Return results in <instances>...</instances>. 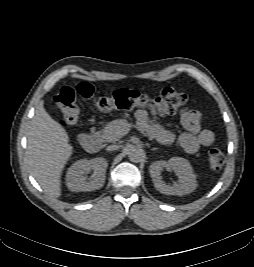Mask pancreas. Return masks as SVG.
<instances>
[{
  "label": "pancreas",
  "instance_id": "cf45deb5",
  "mask_svg": "<svg viewBox=\"0 0 254 267\" xmlns=\"http://www.w3.org/2000/svg\"><path fill=\"white\" fill-rule=\"evenodd\" d=\"M125 127H127V121L125 119L111 121L104 129L99 131L98 137L103 142H116L124 135L123 129Z\"/></svg>",
  "mask_w": 254,
  "mask_h": 267
}]
</instances>
